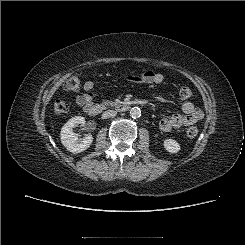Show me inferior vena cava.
Listing matches in <instances>:
<instances>
[{"instance_id": "obj_1", "label": "inferior vena cava", "mask_w": 245, "mask_h": 245, "mask_svg": "<svg viewBox=\"0 0 245 245\" xmlns=\"http://www.w3.org/2000/svg\"><path fill=\"white\" fill-rule=\"evenodd\" d=\"M117 112L115 110H107L103 112L102 119H107L116 116Z\"/></svg>"}]
</instances>
